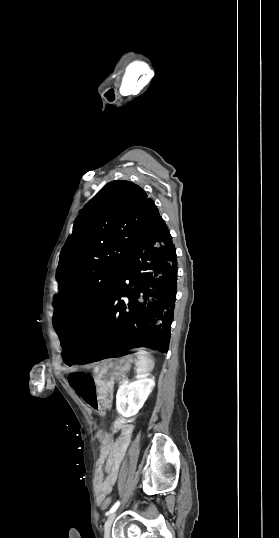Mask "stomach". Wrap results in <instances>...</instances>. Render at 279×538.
Segmentation results:
<instances>
[{
  "instance_id": "stomach-1",
  "label": "stomach",
  "mask_w": 279,
  "mask_h": 538,
  "mask_svg": "<svg viewBox=\"0 0 279 538\" xmlns=\"http://www.w3.org/2000/svg\"><path fill=\"white\" fill-rule=\"evenodd\" d=\"M131 366L129 353H116L114 358H102L101 363H97L95 376L98 381V397L102 408L110 407L112 399L109 396L113 386L111 382H119L120 374H125Z\"/></svg>"
}]
</instances>
